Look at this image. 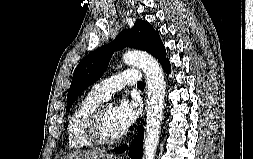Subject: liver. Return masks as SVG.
<instances>
[{
    "mask_svg": "<svg viewBox=\"0 0 253 159\" xmlns=\"http://www.w3.org/2000/svg\"><path fill=\"white\" fill-rule=\"evenodd\" d=\"M114 156L112 154H105L100 150H86L82 152H75L73 154L67 155L62 159H100L107 158L112 159Z\"/></svg>",
    "mask_w": 253,
    "mask_h": 159,
    "instance_id": "obj_1",
    "label": "liver"
}]
</instances>
